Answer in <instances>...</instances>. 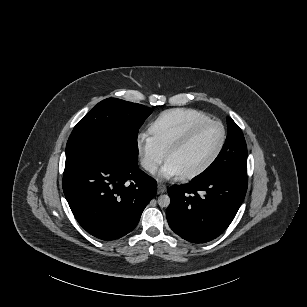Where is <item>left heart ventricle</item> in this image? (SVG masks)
<instances>
[{"label": "left heart ventricle", "instance_id": "obj_1", "mask_svg": "<svg viewBox=\"0 0 307 307\" xmlns=\"http://www.w3.org/2000/svg\"><path fill=\"white\" fill-rule=\"evenodd\" d=\"M223 136V127L220 124H213L203 130L187 147L173 154L169 162L180 175L194 171L213 156L219 148Z\"/></svg>", "mask_w": 307, "mask_h": 307}]
</instances>
